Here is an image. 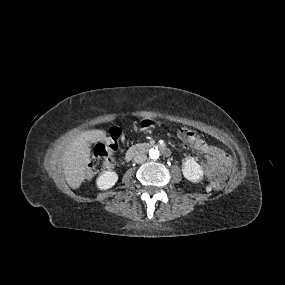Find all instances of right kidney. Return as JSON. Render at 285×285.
<instances>
[{
	"label": "right kidney",
	"instance_id": "obj_1",
	"mask_svg": "<svg viewBox=\"0 0 285 285\" xmlns=\"http://www.w3.org/2000/svg\"><path fill=\"white\" fill-rule=\"evenodd\" d=\"M118 180V175L114 171L103 172L96 180L97 187L100 190L112 188Z\"/></svg>",
	"mask_w": 285,
	"mask_h": 285
}]
</instances>
